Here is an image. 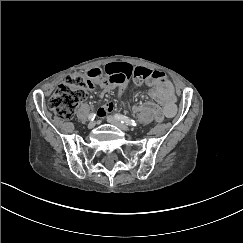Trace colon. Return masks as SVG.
I'll return each instance as SVG.
<instances>
[{"label":"colon","instance_id":"1","mask_svg":"<svg viewBox=\"0 0 243 243\" xmlns=\"http://www.w3.org/2000/svg\"><path fill=\"white\" fill-rule=\"evenodd\" d=\"M92 82L80 74L68 75L59 85L48 101V107L61 119H69L74 115L77 105L87 97ZM137 111L151 112L157 122L163 120L162 110L155 104L147 102Z\"/></svg>","mask_w":243,"mask_h":243}]
</instances>
